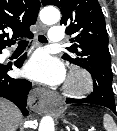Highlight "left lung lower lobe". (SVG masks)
I'll return each instance as SVG.
<instances>
[{
	"instance_id": "obj_1",
	"label": "left lung lower lobe",
	"mask_w": 117,
	"mask_h": 131,
	"mask_svg": "<svg viewBox=\"0 0 117 131\" xmlns=\"http://www.w3.org/2000/svg\"><path fill=\"white\" fill-rule=\"evenodd\" d=\"M66 103L97 104L111 109L117 115L113 92L108 88L94 86L93 93L87 98L83 99L67 98Z\"/></svg>"
}]
</instances>
